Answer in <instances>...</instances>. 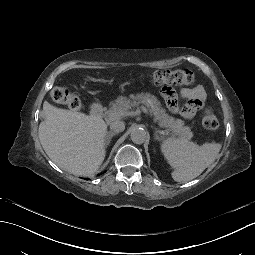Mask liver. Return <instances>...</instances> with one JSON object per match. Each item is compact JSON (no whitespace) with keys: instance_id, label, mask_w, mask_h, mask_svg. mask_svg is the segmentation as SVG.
Instances as JSON below:
<instances>
[{"instance_id":"1","label":"liver","mask_w":255,"mask_h":255,"mask_svg":"<svg viewBox=\"0 0 255 255\" xmlns=\"http://www.w3.org/2000/svg\"><path fill=\"white\" fill-rule=\"evenodd\" d=\"M40 143L49 158L74 175L96 172L105 158L107 124L102 118L43 103Z\"/></svg>"}]
</instances>
